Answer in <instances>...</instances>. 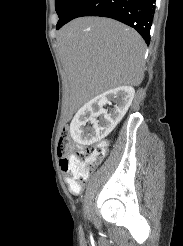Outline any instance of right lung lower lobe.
I'll return each mask as SVG.
<instances>
[{
  "mask_svg": "<svg viewBox=\"0 0 183 246\" xmlns=\"http://www.w3.org/2000/svg\"><path fill=\"white\" fill-rule=\"evenodd\" d=\"M156 0H79L70 16L60 24V29L70 20L81 16H102L118 20L133 27L150 43V28Z\"/></svg>",
  "mask_w": 183,
  "mask_h": 246,
  "instance_id": "right-lung-lower-lobe-1",
  "label": "right lung lower lobe"
}]
</instances>
